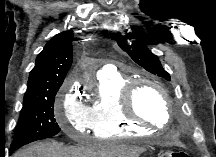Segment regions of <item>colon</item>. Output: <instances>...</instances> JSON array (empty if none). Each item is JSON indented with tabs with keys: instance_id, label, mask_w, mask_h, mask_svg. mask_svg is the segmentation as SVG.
<instances>
[{
	"instance_id": "colon-1",
	"label": "colon",
	"mask_w": 216,
	"mask_h": 157,
	"mask_svg": "<svg viewBox=\"0 0 216 157\" xmlns=\"http://www.w3.org/2000/svg\"><path fill=\"white\" fill-rule=\"evenodd\" d=\"M160 157H188V154L184 150H168L162 152Z\"/></svg>"
}]
</instances>
